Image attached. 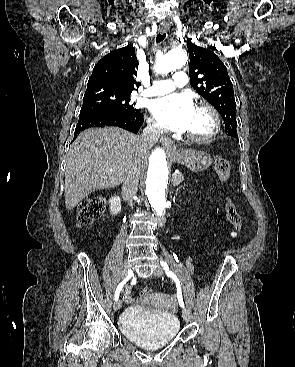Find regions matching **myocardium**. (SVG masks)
<instances>
[{
  "mask_svg": "<svg viewBox=\"0 0 295 367\" xmlns=\"http://www.w3.org/2000/svg\"><path fill=\"white\" fill-rule=\"evenodd\" d=\"M196 109L198 110H203L206 111L211 119H212V128L211 130L205 134V135H201V136H197V135H192L189 133L185 134V137L194 143H207L211 140H213L217 134L219 133L220 129H221V120H220V116L219 113L217 112V110L210 104L208 103H200Z\"/></svg>",
  "mask_w": 295,
  "mask_h": 367,
  "instance_id": "f54148a6",
  "label": "myocardium"
}]
</instances>
